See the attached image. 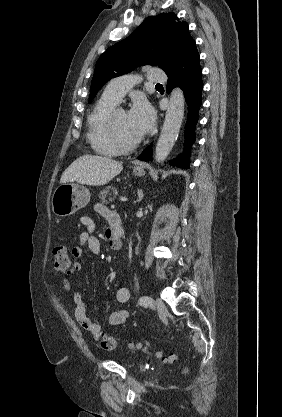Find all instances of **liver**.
Wrapping results in <instances>:
<instances>
[{"label": "liver", "mask_w": 282, "mask_h": 417, "mask_svg": "<svg viewBox=\"0 0 282 417\" xmlns=\"http://www.w3.org/2000/svg\"><path fill=\"white\" fill-rule=\"evenodd\" d=\"M122 168V162L113 160L109 156L83 154L64 170L60 182H79V184L101 186L110 182L121 172Z\"/></svg>", "instance_id": "liver-1"}]
</instances>
